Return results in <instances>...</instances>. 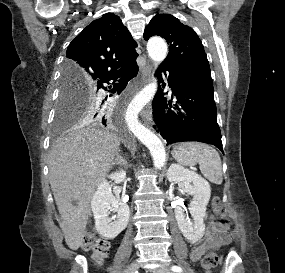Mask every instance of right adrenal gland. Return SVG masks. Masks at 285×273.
Segmentation results:
<instances>
[{
	"instance_id": "obj_1",
	"label": "right adrenal gland",
	"mask_w": 285,
	"mask_h": 273,
	"mask_svg": "<svg viewBox=\"0 0 285 273\" xmlns=\"http://www.w3.org/2000/svg\"><path fill=\"white\" fill-rule=\"evenodd\" d=\"M113 165H119L120 167L123 166V168L125 170L128 169V163H127L126 159L123 156H121L120 149H118V151L116 153V158L113 161Z\"/></svg>"
}]
</instances>
